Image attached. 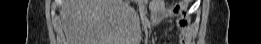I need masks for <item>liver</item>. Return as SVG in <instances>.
Returning <instances> with one entry per match:
<instances>
[{
    "label": "liver",
    "mask_w": 261,
    "mask_h": 44,
    "mask_svg": "<svg viewBox=\"0 0 261 44\" xmlns=\"http://www.w3.org/2000/svg\"><path fill=\"white\" fill-rule=\"evenodd\" d=\"M124 0H63L60 16L71 44H137L141 25Z\"/></svg>",
    "instance_id": "1"
}]
</instances>
